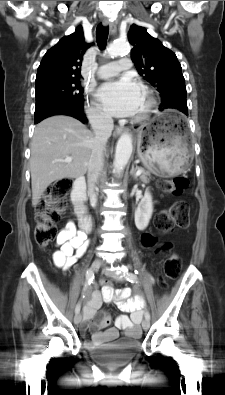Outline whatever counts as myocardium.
<instances>
[{
    "mask_svg": "<svg viewBox=\"0 0 225 395\" xmlns=\"http://www.w3.org/2000/svg\"><path fill=\"white\" fill-rule=\"evenodd\" d=\"M142 92L145 96V106H144L143 110L135 117L134 120L136 122H141V121L147 119L156 104L153 93L149 88L143 87Z\"/></svg>",
    "mask_w": 225,
    "mask_h": 395,
    "instance_id": "myocardium-1",
    "label": "myocardium"
}]
</instances>
